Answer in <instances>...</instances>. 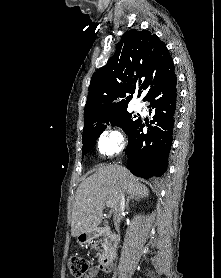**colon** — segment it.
I'll return each instance as SVG.
<instances>
[{"label":"colon","mask_w":221,"mask_h":278,"mask_svg":"<svg viewBox=\"0 0 221 278\" xmlns=\"http://www.w3.org/2000/svg\"><path fill=\"white\" fill-rule=\"evenodd\" d=\"M69 269L75 278H86L90 270V262L83 257H73L69 260Z\"/></svg>","instance_id":"5ec220e1"}]
</instances>
